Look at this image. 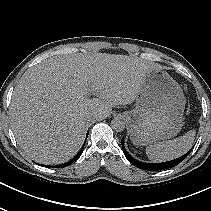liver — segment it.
I'll return each mask as SVG.
<instances>
[{
	"label": "liver",
	"mask_w": 211,
	"mask_h": 211,
	"mask_svg": "<svg viewBox=\"0 0 211 211\" xmlns=\"http://www.w3.org/2000/svg\"><path fill=\"white\" fill-rule=\"evenodd\" d=\"M156 66L126 55L58 56L28 69L14 89L11 127L33 160L61 164L80 150L88 116L103 119L113 105L131 104ZM95 94L98 98H90Z\"/></svg>",
	"instance_id": "6515ba94"
}]
</instances>
